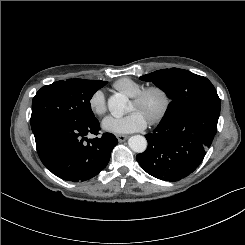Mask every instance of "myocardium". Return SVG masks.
Returning <instances> with one entry per match:
<instances>
[{
  "mask_svg": "<svg viewBox=\"0 0 245 245\" xmlns=\"http://www.w3.org/2000/svg\"><path fill=\"white\" fill-rule=\"evenodd\" d=\"M153 95L160 97L161 107L157 113L147 119L149 125L160 123L168 114L172 103L169 92L159 85H152L143 88L139 93L132 97V102L135 103L136 106L141 107L145 105L148 99Z\"/></svg>",
  "mask_w": 245,
  "mask_h": 245,
  "instance_id": "1",
  "label": "myocardium"
}]
</instances>
